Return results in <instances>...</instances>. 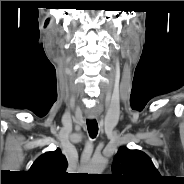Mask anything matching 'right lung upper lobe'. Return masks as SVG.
Wrapping results in <instances>:
<instances>
[{"label": "right lung upper lobe", "mask_w": 184, "mask_h": 184, "mask_svg": "<svg viewBox=\"0 0 184 184\" xmlns=\"http://www.w3.org/2000/svg\"><path fill=\"white\" fill-rule=\"evenodd\" d=\"M67 160L58 148L41 155L31 166L29 172L41 184H62L67 180Z\"/></svg>", "instance_id": "1"}]
</instances>
